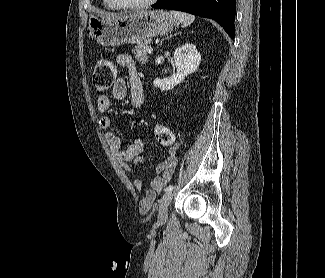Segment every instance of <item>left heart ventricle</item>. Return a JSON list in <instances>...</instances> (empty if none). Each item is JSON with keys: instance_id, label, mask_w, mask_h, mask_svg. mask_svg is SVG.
Listing matches in <instances>:
<instances>
[{"instance_id": "1", "label": "left heart ventricle", "mask_w": 325, "mask_h": 278, "mask_svg": "<svg viewBox=\"0 0 325 278\" xmlns=\"http://www.w3.org/2000/svg\"><path fill=\"white\" fill-rule=\"evenodd\" d=\"M120 1H122L123 3H141L146 0H120Z\"/></svg>"}]
</instances>
